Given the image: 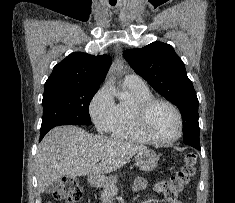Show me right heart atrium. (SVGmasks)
<instances>
[{
	"label": "right heart atrium",
	"instance_id": "obj_1",
	"mask_svg": "<svg viewBox=\"0 0 235 203\" xmlns=\"http://www.w3.org/2000/svg\"><path fill=\"white\" fill-rule=\"evenodd\" d=\"M114 111L115 103L110 89L103 85L96 91L89 103L90 117L99 131H108Z\"/></svg>",
	"mask_w": 235,
	"mask_h": 203
}]
</instances>
